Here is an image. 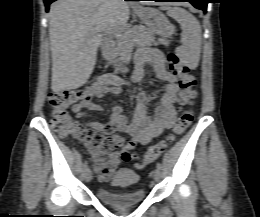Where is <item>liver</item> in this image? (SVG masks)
I'll return each instance as SVG.
<instances>
[{"instance_id":"1","label":"liver","mask_w":260,"mask_h":217,"mask_svg":"<svg viewBox=\"0 0 260 217\" xmlns=\"http://www.w3.org/2000/svg\"><path fill=\"white\" fill-rule=\"evenodd\" d=\"M129 18L124 0H58L50 6L51 89L83 86L93 72L102 32L120 31Z\"/></svg>"}]
</instances>
